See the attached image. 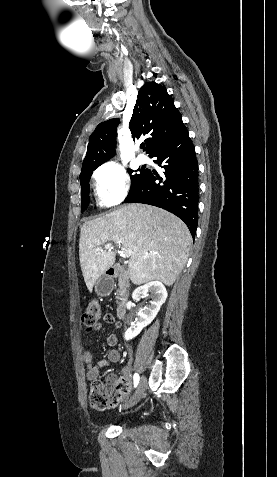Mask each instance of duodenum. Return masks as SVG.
<instances>
[{"mask_svg": "<svg viewBox=\"0 0 277 477\" xmlns=\"http://www.w3.org/2000/svg\"><path fill=\"white\" fill-rule=\"evenodd\" d=\"M106 276L109 279L110 283H112L115 280H118L120 285H121V288L123 289L122 297H121V299H120V301L117 305V308H116V314H117L118 318L123 319V318L126 317L127 311H128V302H127L128 297H127V294L125 292V289L128 285V281H129L128 273L124 268L119 267V266H114V267L107 270Z\"/></svg>", "mask_w": 277, "mask_h": 477, "instance_id": "1", "label": "duodenum"}]
</instances>
